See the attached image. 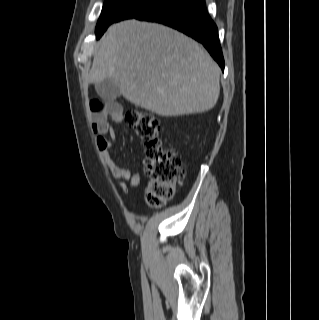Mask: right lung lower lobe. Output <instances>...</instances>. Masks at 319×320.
<instances>
[{
	"label": "right lung lower lobe",
	"instance_id": "right-lung-lower-lobe-1",
	"mask_svg": "<svg viewBox=\"0 0 319 320\" xmlns=\"http://www.w3.org/2000/svg\"><path fill=\"white\" fill-rule=\"evenodd\" d=\"M136 18L162 23L187 34L202 43L224 70L218 29L208 15L205 0H174L168 5L152 9Z\"/></svg>",
	"mask_w": 319,
	"mask_h": 320
}]
</instances>
